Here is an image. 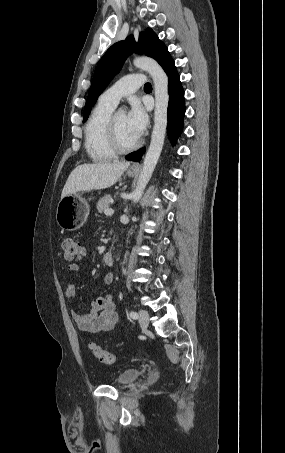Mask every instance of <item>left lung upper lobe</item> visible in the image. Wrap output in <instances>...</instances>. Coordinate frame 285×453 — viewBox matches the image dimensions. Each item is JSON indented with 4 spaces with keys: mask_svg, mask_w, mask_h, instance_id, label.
Instances as JSON below:
<instances>
[{
    "mask_svg": "<svg viewBox=\"0 0 285 453\" xmlns=\"http://www.w3.org/2000/svg\"><path fill=\"white\" fill-rule=\"evenodd\" d=\"M167 51L168 49L164 43L158 39L152 29H146L141 32L138 43L135 42L134 37L131 35L125 41L113 44L96 67L84 108L83 122L88 119L91 108L96 103L98 96L121 69L129 54L132 52L145 54L159 62Z\"/></svg>",
    "mask_w": 285,
    "mask_h": 453,
    "instance_id": "1",
    "label": "left lung upper lobe"
}]
</instances>
